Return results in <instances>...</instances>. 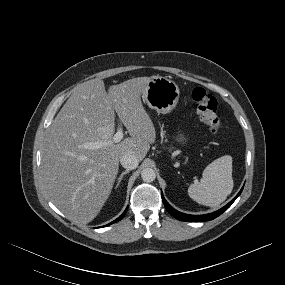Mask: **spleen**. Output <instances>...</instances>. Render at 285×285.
<instances>
[{"mask_svg":"<svg viewBox=\"0 0 285 285\" xmlns=\"http://www.w3.org/2000/svg\"><path fill=\"white\" fill-rule=\"evenodd\" d=\"M233 186L232 157L225 155L204 169L203 178L189 186L188 194L197 203L214 207L227 199Z\"/></svg>","mask_w":285,"mask_h":285,"instance_id":"spleen-1","label":"spleen"}]
</instances>
